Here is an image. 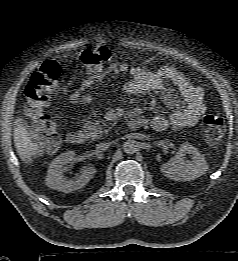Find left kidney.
<instances>
[{"instance_id": "1", "label": "left kidney", "mask_w": 238, "mask_h": 261, "mask_svg": "<svg viewBox=\"0 0 238 261\" xmlns=\"http://www.w3.org/2000/svg\"><path fill=\"white\" fill-rule=\"evenodd\" d=\"M186 153L192 156L191 162L183 159ZM207 169L205 157L189 143L181 144L177 154L161 166L163 175L175 181L194 180L204 175Z\"/></svg>"}]
</instances>
